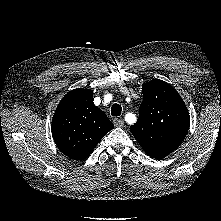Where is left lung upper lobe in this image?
I'll list each match as a JSON object with an SVG mask.
<instances>
[{
  "label": "left lung upper lobe",
  "instance_id": "5c2ea615",
  "mask_svg": "<svg viewBox=\"0 0 221 221\" xmlns=\"http://www.w3.org/2000/svg\"><path fill=\"white\" fill-rule=\"evenodd\" d=\"M142 91L139 119L130 131L148 156L161 159L175 151L185 138L189 112L178 92L162 80L145 83Z\"/></svg>",
  "mask_w": 221,
  "mask_h": 221
}]
</instances>
